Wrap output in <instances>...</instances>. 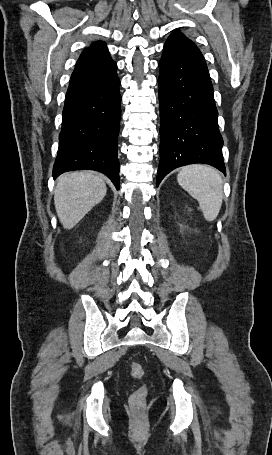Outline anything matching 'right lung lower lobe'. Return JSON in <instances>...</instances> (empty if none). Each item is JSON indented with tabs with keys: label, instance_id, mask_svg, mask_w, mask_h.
Wrapping results in <instances>:
<instances>
[{
	"label": "right lung lower lobe",
	"instance_id": "obj_1",
	"mask_svg": "<svg viewBox=\"0 0 272 455\" xmlns=\"http://www.w3.org/2000/svg\"><path fill=\"white\" fill-rule=\"evenodd\" d=\"M119 86L116 70L69 85L53 167L54 178L66 171L90 169L106 174L119 189Z\"/></svg>",
	"mask_w": 272,
	"mask_h": 455
}]
</instances>
